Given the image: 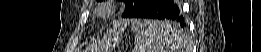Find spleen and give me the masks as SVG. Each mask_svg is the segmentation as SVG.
I'll list each match as a JSON object with an SVG mask.
<instances>
[{"label": "spleen", "mask_w": 261, "mask_h": 52, "mask_svg": "<svg viewBox=\"0 0 261 52\" xmlns=\"http://www.w3.org/2000/svg\"><path fill=\"white\" fill-rule=\"evenodd\" d=\"M131 29L136 33L137 52H174L182 44L178 29L167 22L136 20ZM170 32L173 34L166 36Z\"/></svg>", "instance_id": "1"}]
</instances>
